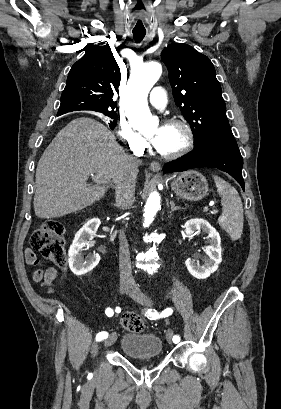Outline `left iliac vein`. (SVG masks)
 <instances>
[{
	"instance_id": "obj_1",
	"label": "left iliac vein",
	"mask_w": 281,
	"mask_h": 409,
	"mask_svg": "<svg viewBox=\"0 0 281 409\" xmlns=\"http://www.w3.org/2000/svg\"><path fill=\"white\" fill-rule=\"evenodd\" d=\"M127 293L131 298H133L135 301L142 305L146 306L152 305V300L147 295H145L135 283L130 284ZM166 338L170 344L173 342L172 330H168V332L166 333Z\"/></svg>"
}]
</instances>
